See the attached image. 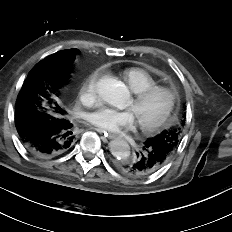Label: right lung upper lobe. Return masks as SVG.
Returning <instances> with one entry per match:
<instances>
[{"mask_svg": "<svg viewBox=\"0 0 232 232\" xmlns=\"http://www.w3.org/2000/svg\"><path fill=\"white\" fill-rule=\"evenodd\" d=\"M72 51H75V50L74 49H69V50H64V51L57 52L50 59H52L53 57H58V56H60V55H62L64 53H70Z\"/></svg>", "mask_w": 232, "mask_h": 232, "instance_id": "1", "label": "right lung upper lobe"}]
</instances>
